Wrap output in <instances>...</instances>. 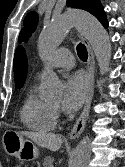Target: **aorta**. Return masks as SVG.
<instances>
[{"instance_id":"aorta-1","label":"aorta","mask_w":125,"mask_h":167,"mask_svg":"<svg viewBox=\"0 0 125 167\" xmlns=\"http://www.w3.org/2000/svg\"><path fill=\"white\" fill-rule=\"evenodd\" d=\"M75 26L89 41L96 55L102 74L108 71L111 60L110 38L102 24L84 11H71L51 22L39 36V50L48 55L64 40L68 31ZM62 94V85L55 73L48 71L42 96L44 99H57ZM91 158V143L87 136L76 147L69 167H88Z\"/></svg>"}]
</instances>
